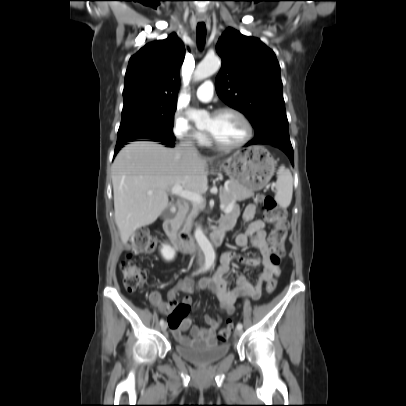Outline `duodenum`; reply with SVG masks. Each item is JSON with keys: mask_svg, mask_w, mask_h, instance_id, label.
<instances>
[{"mask_svg": "<svg viewBox=\"0 0 406 406\" xmlns=\"http://www.w3.org/2000/svg\"><path fill=\"white\" fill-rule=\"evenodd\" d=\"M176 208V213L165 219L164 231L181 253L188 254L192 250L190 238L187 234H180L179 232L180 216L186 211L187 205L186 203L179 201L176 204ZM233 225L234 224L230 221H220L211 233L213 244L220 246L224 241L226 232L230 230Z\"/></svg>", "mask_w": 406, "mask_h": 406, "instance_id": "1", "label": "duodenum"}]
</instances>
